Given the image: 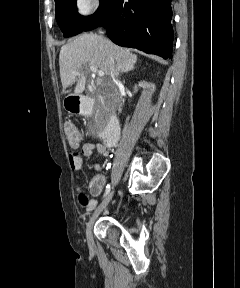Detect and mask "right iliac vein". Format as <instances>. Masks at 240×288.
<instances>
[{"mask_svg": "<svg viewBox=\"0 0 240 288\" xmlns=\"http://www.w3.org/2000/svg\"><path fill=\"white\" fill-rule=\"evenodd\" d=\"M114 194V190L110 191L108 193V195L106 196V198L102 201V203L98 206V208L95 210V212L93 213L89 223L87 224V228H86V238L88 241V244L91 246L93 245V234H92V229H93V225L95 220L98 218V216L100 215V213L107 207V205L109 204V202L111 201L112 197Z\"/></svg>", "mask_w": 240, "mask_h": 288, "instance_id": "1", "label": "right iliac vein"}]
</instances>
